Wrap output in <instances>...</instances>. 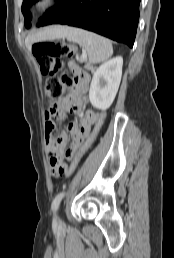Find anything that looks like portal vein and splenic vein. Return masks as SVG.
Instances as JSON below:
<instances>
[{"instance_id": "portal-vein-and-splenic-vein-1", "label": "portal vein and splenic vein", "mask_w": 174, "mask_h": 258, "mask_svg": "<svg viewBox=\"0 0 174 258\" xmlns=\"http://www.w3.org/2000/svg\"><path fill=\"white\" fill-rule=\"evenodd\" d=\"M82 58H86V53L85 52L82 53Z\"/></svg>"}]
</instances>
